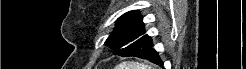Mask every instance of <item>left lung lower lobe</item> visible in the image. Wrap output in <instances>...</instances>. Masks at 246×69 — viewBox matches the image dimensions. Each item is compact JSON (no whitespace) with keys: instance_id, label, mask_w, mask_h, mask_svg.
Wrapping results in <instances>:
<instances>
[{"instance_id":"obj_1","label":"left lung lower lobe","mask_w":246,"mask_h":69,"mask_svg":"<svg viewBox=\"0 0 246 69\" xmlns=\"http://www.w3.org/2000/svg\"><path fill=\"white\" fill-rule=\"evenodd\" d=\"M152 39L148 35L141 36L128 46L116 50L114 55L123 57L135 56L142 59H147L155 64L163 65L158 53L152 48Z\"/></svg>"}]
</instances>
